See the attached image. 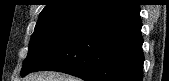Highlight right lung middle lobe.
I'll return each mask as SVG.
<instances>
[{
	"label": "right lung middle lobe",
	"mask_w": 169,
	"mask_h": 81,
	"mask_svg": "<svg viewBox=\"0 0 169 81\" xmlns=\"http://www.w3.org/2000/svg\"><path fill=\"white\" fill-rule=\"evenodd\" d=\"M86 21L77 16H56L39 19L29 43L28 55L20 75L34 71L56 52Z\"/></svg>",
	"instance_id": "dd1d6c3e"
}]
</instances>
